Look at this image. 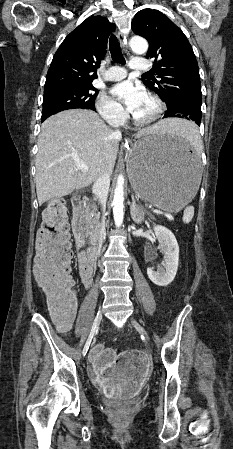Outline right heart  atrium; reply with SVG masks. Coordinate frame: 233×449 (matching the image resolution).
<instances>
[{
	"mask_svg": "<svg viewBox=\"0 0 233 449\" xmlns=\"http://www.w3.org/2000/svg\"><path fill=\"white\" fill-rule=\"evenodd\" d=\"M96 109L101 117L111 125L117 126L125 121L126 115L122 106L104 93L98 95Z\"/></svg>",
	"mask_w": 233,
	"mask_h": 449,
	"instance_id": "right-heart-atrium-1",
	"label": "right heart atrium"
}]
</instances>
